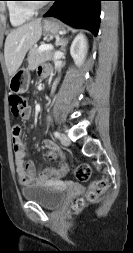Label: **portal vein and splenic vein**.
<instances>
[{"instance_id":"portal-vein-and-splenic-vein-1","label":"portal vein and splenic vein","mask_w":133,"mask_h":253,"mask_svg":"<svg viewBox=\"0 0 133 253\" xmlns=\"http://www.w3.org/2000/svg\"><path fill=\"white\" fill-rule=\"evenodd\" d=\"M39 52H43V51H52L53 50V46L50 44H43L38 48Z\"/></svg>"}]
</instances>
